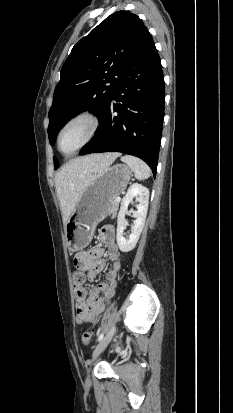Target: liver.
<instances>
[{
  "mask_svg": "<svg viewBox=\"0 0 233 413\" xmlns=\"http://www.w3.org/2000/svg\"><path fill=\"white\" fill-rule=\"evenodd\" d=\"M118 153L92 154L66 163L55 175V186L64 225L75 209L85 188L97 174L108 168Z\"/></svg>",
  "mask_w": 233,
  "mask_h": 413,
  "instance_id": "obj_1",
  "label": "liver"
}]
</instances>
